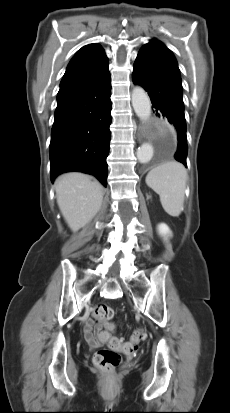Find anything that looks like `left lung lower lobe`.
Returning <instances> with one entry per match:
<instances>
[{
    "label": "left lung lower lobe",
    "instance_id": "0a47b994",
    "mask_svg": "<svg viewBox=\"0 0 230 413\" xmlns=\"http://www.w3.org/2000/svg\"><path fill=\"white\" fill-rule=\"evenodd\" d=\"M132 80L148 92L156 115L166 117L177 132L175 159L185 166L186 120L179 69L157 50L142 47L133 66Z\"/></svg>",
    "mask_w": 230,
    "mask_h": 413
}]
</instances>
